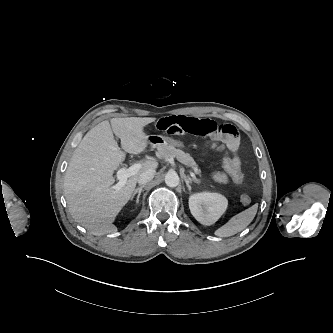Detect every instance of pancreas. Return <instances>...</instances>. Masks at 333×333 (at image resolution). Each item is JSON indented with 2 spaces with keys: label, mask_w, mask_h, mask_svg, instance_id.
Wrapping results in <instances>:
<instances>
[{
  "label": "pancreas",
  "mask_w": 333,
  "mask_h": 333,
  "mask_svg": "<svg viewBox=\"0 0 333 333\" xmlns=\"http://www.w3.org/2000/svg\"><path fill=\"white\" fill-rule=\"evenodd\" d=\"M158 158H168V157H176L181 163L184 165L191 167L193 170L198 173L200 170L198 169V165L194 161V159L190 156V154L183 152L180 149H176L173 145H168L164 147L158 148V152L156 153Z\"/></svg>",
  "instance_id": "1"
}]
</instances>
